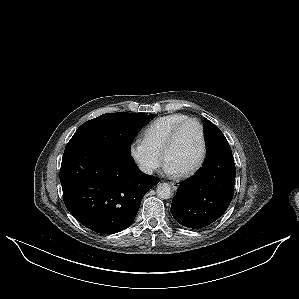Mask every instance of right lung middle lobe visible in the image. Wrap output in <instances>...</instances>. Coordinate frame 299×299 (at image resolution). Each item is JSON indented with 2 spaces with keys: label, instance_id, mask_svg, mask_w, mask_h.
I'll return each instance as SVG.
<instances>
[{
  "label": "right lung middle lobe",
  "instance_id": "dd1d6c3e",
  "mask_svg": "<svg viewBox=\"0 0 299 299\" xmlns=\"http://www.w3.org/2000/svg\"><path fill=\"white\" fill-rule=\"evenodd\" d=\"M144 113H106L83 123L70 139L69 145L91 144L115 149L130 155V145L135 135L149 122Z\"/></svg>",
  "mask_w": 299,
  "mask_h": 299
}]
</instances>
